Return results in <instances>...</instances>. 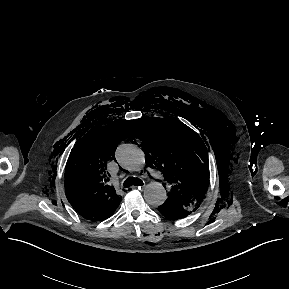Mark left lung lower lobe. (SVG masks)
Masks as SVG:
<instances>
[{
	"label": "left lung lower lobe",
	"mask_w": 289,
	"mask_h": 289,
	"mask_svg": "<svg viewBox=\"0 0 289 289\" xmlns=\"http://www.w3.org/2000/svg\"><path fill=\"white\" fill-rule=\"evenodd\" d=\"M158 211L168 219H182L191 214L186 209L173 207L167 204H162L158 207Z\"/></svg>",
	"instance_id": "obj_1"
}]
</instances>
